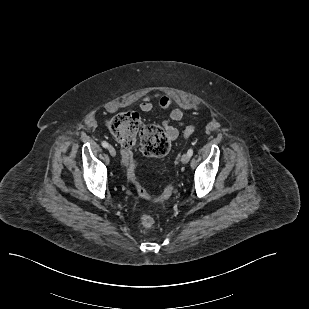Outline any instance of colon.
Returning a JSON list of instances; mask_svg holds the SVG:
<instances>
[{
  "mask_svg": "<svg viewBox=\"0 0 309 309\" xmlns=\"http://www.w3.org/2000/svg\"><path fill=\"white\" fill-rule=\"evenodd\" d=\"M108 128L112 135L125 148L124 161L127 166V173L136 193L146 199L154 201H165L172 195V188L167 187L160 195L149 194L137 181L135 163L131 149L138 147L146 156L159 157L167 154L170 142L164 129L156 124H144L136 112H121L113 115L108 120ZM194 133L193 127H188L184 134L190 136ZM141 223L144 227H152L155 223L154 216L144 213L141 216Z\"/></svg>",
  "mask_w": 309,
  "mask_h": 309,
  "instance_id": "colon-1",
  "label": "colon"
}]
</instances>
